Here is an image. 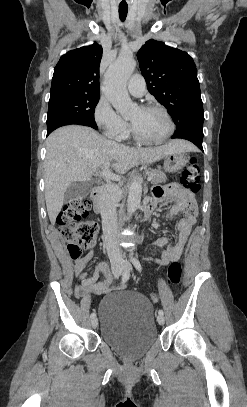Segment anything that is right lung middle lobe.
I'll return each instance as SVG.
<instances>
[{"mask_svg": "<svg viewBox=\"0 0 247 407\" xmlns=\"http://www.w3.org/2000/svg\"><path fill=\"white\" fill-rule=\"evenodd\" d=\"M100 94L61 92L50 96L47 129L60 123L77 122L97 128L94 119L95 107Z\"/></svg>", "mask_w": 247, "mask_h": 407, "instance_id": "dd1d6c3e", "label": "right lung middle lobe"}]
</instances>
